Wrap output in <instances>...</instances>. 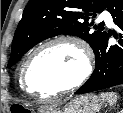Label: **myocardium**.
Masks as SVG:
<instances>
[{"label": "myocardium", "instance_id": "myocardium-1", "mask_svg": "<svg viewBox=\"0 0 123 113\" xmlns=\"http://www.w3.org/2000/svg\"><path fill=\"white\" fill-rule=\"evenodd\" d=\"M58 43H70L74 45L81 52L83 56V69L81 74L75 81H73L69 85L63 88H60L56 91H53L51 93L38 94V93L32 92L30 90L29 83H28V72H29V68L33 59L42 50ZM93 69H94V58H93L92 50L90 46L88 45V43L76 35H70V34L59 35L43 42L30 53V55L27 57L26 61L24 62V65L22 68L21 84H22V87L26 90V92L29 93L30 95H33L41 99H49L58 94H64V93L70 92L76 89L77 87L81 86L91 76Z\"/></svg>", "mask_w": 123, "mask_h": 113}]
</instances>
